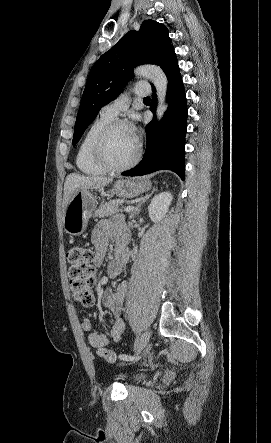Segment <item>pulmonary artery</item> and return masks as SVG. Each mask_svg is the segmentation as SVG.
<instances>
[{"instance_id":"e3ab8cb5","label":"pulmonary artery","mask_w":271,"mask_h":443,"mask_svg":"<svg viewBox=\"0 0 271 443\" xmlns=\"http://www.w3.org/2000/svg\"><path fill=\"white\" fill-rule=\"evenodd\" d=\"M134 92L139 96H145L147 94V92L138 89H135ZM128 105H129V97L127 95H123L113 100L112 102L104 105L101 109V114L114 117L119 112L126 109Z\"/></svg>"}]
</instances>
